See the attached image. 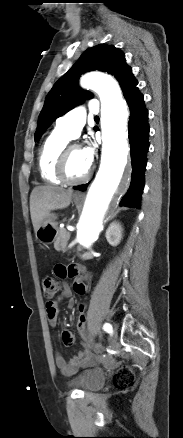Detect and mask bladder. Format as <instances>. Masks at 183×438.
Returning <instances> with one entry per match:
<instances>
[{
    "label": "bladder",
    "mask_w": 183,
    "mask_h": 438,
    "mask_svg": "<svg viewBox=\"0 0 183 438\" xmlns=\"http://www.w3.org/2000/svg\"><path fill=\"white\" fill-rule=\"evenodd\" d=\"M73 383L84 391H93L103 387L105 376L96 370H86L77 376Z\"/></svg>",
    "instance_id": "31cf9c89"
}]
</instances>
